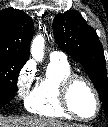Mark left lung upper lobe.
<instances>
[{
  "instance_id": "1",
  "label": "left lung upper lobe",
  "mask_w": 108,
  "mask_h": 127,
  "mask_svg": "<svg viewBox=\"0 0 108 127\" xmlns=\"http://www.w3.org/2000/svg\"><path fill=\"white\" fill-rule=\"evenodd\" d=\"M53 32L59 46L85 68L108 116V77L103 47L95 30L72 10L58 14L53 21Z\"/></svg>"
}]
</instances>
